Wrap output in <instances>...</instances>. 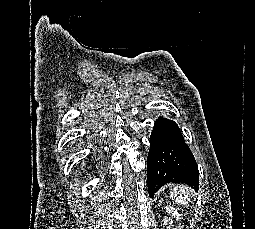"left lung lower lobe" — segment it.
<instances>
[{"mask_svg": "<svg viewBox=\"0 0 255 229\" xmlns=\"http://www.w3.org/2000/svg\"><path fill=\"white\" fill-rule=\"evenodd\" d=\"M149 196L167 183H183L198 190L199 176L195 158L177 124L158 118L150 136L147 157Z\"/></svg>", "mask_w": 255, "mask_h": 229, "instance_id": "0a47b994", "label": "left lung lower lobe"}]
</instances>
